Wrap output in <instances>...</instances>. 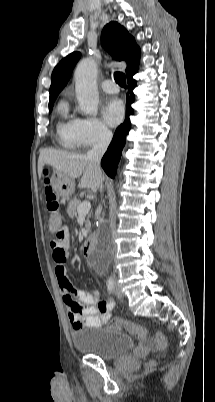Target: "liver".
<instances>
[{
  "label": "liver",
  "mask_w": 215,
  "mask_h": 402,
  "mask_svg": "<svg viewBox=\"0 0 215 402\" xmlns=\"http://www.w3.org/2000/svg\"><path fill=\"white\" fill-rule=\"evenodd\" d=\"M44 165H50L72 179L82 176L79 187L91 189L92 192H96L103 183L101 170H97L86 155L44 149L40 152L38 159L39 177L42 175Z\"/></svg>",
  "instance_id": "liver-1"
}]
</instances>
